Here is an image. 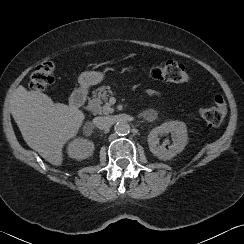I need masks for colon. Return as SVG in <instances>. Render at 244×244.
I'll return each mask as SVG.
<instances>
[{"instance_id": "obj_1", "label": "colon", "mask_w": 244, "mask_h": 244, "mask_svg": "<svg viewBox=\"0 0 244 244\" xmlns=\"http://www.w3.org/2000/svg\"><path fill=\"white\" fill-rule=\"evenodd\" d=\"M54 64L46 61L36 67L30 75V87L34 91L48 89L54 82ZM149 75L159 81L188 84L190 76L184 66L175 61H162L149 69ZM227 112V104L222 96H215L213 104L200 108V116L212 126L220 125Z\"/></svg>"}]
</instances>
